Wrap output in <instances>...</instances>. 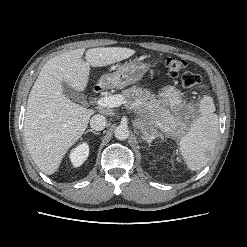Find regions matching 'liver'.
Here are the masks:
<instances>
[{
    "instance_id": "liver-1",
    "label": "liver",
    "mask_w": 247,
    "mask_h": 247,
    "mask_svg": "<svg viewBox=\"0 0 247 247\" xmlns=\"http://www.w3.org/2000/svg\"><path fill=\"white\" fill-rule=\"evenodd\" d=\"M75 49L57 55L42 67L28 97L24 136L29 153L46 175L59 165L88 126L94 110L63 94V82L81 92L87 87L90 67H103L127 59L135 50L122 47Z\"/></svg>"
}]
</instances>
